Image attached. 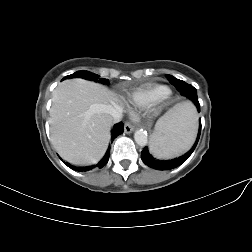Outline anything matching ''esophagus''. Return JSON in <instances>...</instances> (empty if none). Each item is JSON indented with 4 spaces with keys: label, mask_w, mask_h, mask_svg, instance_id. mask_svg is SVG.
Listing matches in <instances>:
<instances>
[{
    "label": "esophagus",
    "mask_w": 252,
    "mask_h": 252,
    "mask_svg": "<svg viewBox=\"0 0 252 252\" xmlns=\"http://www.w3.org/2000/svg\"><path fill=\"white\" fill-rule=\"evenodd\" d=\"M133 130H134V127L132 126V124L129 122H126L124 126L125 133L130 134L133 132Z\"/></svg>",
    "instance_id": "1"
}]
</instances>
